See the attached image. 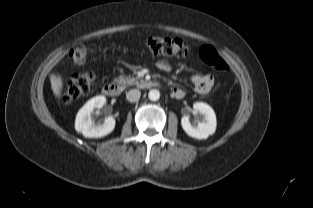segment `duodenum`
Returning a JSON list of instances; mask_svg holds the SVG:
<instances>
[{
  "mask_svg": "<svg viewBox=\"0 0 313 208\" xmlns=\"http://www.w3.org/2000/svg\"><path fill=\"white\" fill-rule=\"evenodd\" d=\"M137 86L140 89H149L153 86H158V83L141 79L138 81ZM102 91L106 96L116 97L122 92V86L117 82H109L103 86Z\"/></svg>",
  "mask_w": 313,
  "mask_h": 208,
  "instance_id": "410a0bca",
  "label": "duodenum"
}]
</instances>
